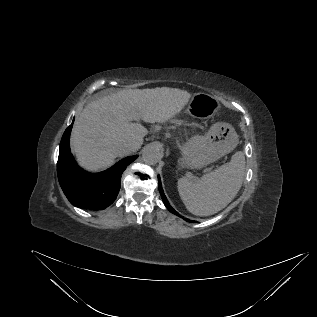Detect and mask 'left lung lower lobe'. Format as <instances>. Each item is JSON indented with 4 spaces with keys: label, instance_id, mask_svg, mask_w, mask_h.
Instances as JSON below:
<instances>
[{
    "label": "left lung lower lobe",
    "instance_id": "obj_1",
    "mask_svg": "<svg viewBox=\"0 0 317 317\" xmlns=\"http://www.w3.org/2000/svg\"><path fill=\"white\" fill-rule=\"evenodd\" d=\"M158 181H159V191H160V194L162 196V199H163V202L165 204V206L167 207V209L172 212L173 214L177 215V216H180L171 206L170 204L168 203V200L163 192V189H162V185H161V180H160V177L158 176ZM189 221V220H187ZM190 222V221H189Z\"/></svg>",
    "mask_w": 317,
    "mask_h": 317
}]
</instances>
